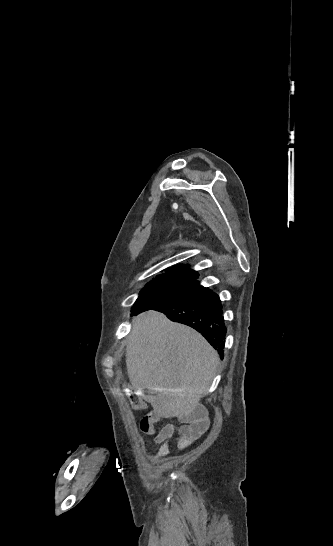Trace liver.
Segmentation results:
<instances>
[{
  "instance_id": "6515ba94",
  "label": "liver",
  "mask_w": 333,
  "mask_h": 546,
  "mask_svg": "<svg viewBox=\"0 0 333 546\" xmlns=\"http://www.w3.org/2000/svg\"><path fill=\"white\" fill-rule=\"evenodd\" d=\"M127 372L133 389L164 418L188 416L201 407L219 356L194 329L147 311L133 319L126 348Z\"/></svg>"
}]
</instances>
